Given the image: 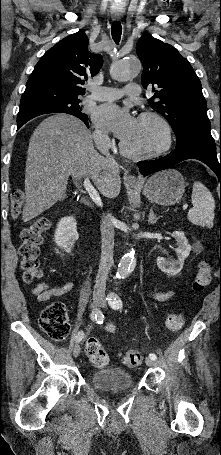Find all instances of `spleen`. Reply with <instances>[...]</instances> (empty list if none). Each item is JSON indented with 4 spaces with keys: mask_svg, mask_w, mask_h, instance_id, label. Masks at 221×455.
Listing matches in <instances>:
<instances>
[{
    "mask_svg": "<svg viewBox=\"0 0 221 455\" xmlns=\"http://www.w3.org/2000/svg\"><path fill=\"white\" fill-rule=\"evenodd\" d=\"M193 208L188 212L189 221L198 226L213 227L215 200L211 192L199 181H195L192 190Z\"/></svg>",
    "mask_w": 221,
    "mask_h": 455,
    "instance_id": "spleen-1",
    "label": "spleen"
}]
</instances>
